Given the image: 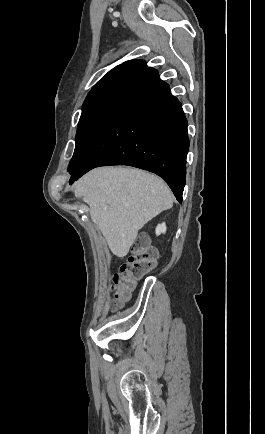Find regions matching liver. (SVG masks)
Segmentation results:
<instances>
[{"label": "liver", "mask_w": 265, "mask_h": 434, "mask_svg": "<svg viewBox=\"0 0 265 434\" xmlns=\"http://www.w3.org/2000/svg\"><path fill=\"white\" fill-rule=\"evenodd\" d=\"M74 194L88 204L92 222L117 258L127 256L138 230L173 206L170 188L161 178L131 168L91 170Z\"/></svg>", "instance_id": "liver-1"}]
</instances>
